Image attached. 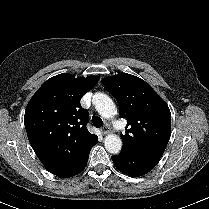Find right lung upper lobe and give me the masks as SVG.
<instances>
[{
    "mask_svg": "<svg viewBox=\"0 0 209 209\" xmlns=\"http://www.w3.org/2000/svg\"><path fill=\"white\" fill-rule=\"evenodd\" d=\"M99 77L59 74L48 79L29 101L24 116L28 139L42 164L62 177L98 141L87 128L88 111L80 99Z\"/></svg>",
    "mask_w": 209,
    "mask_h": 209,
    "instance_id": "1",
    "label": "right lung upper lobe"
}]
</instances>
